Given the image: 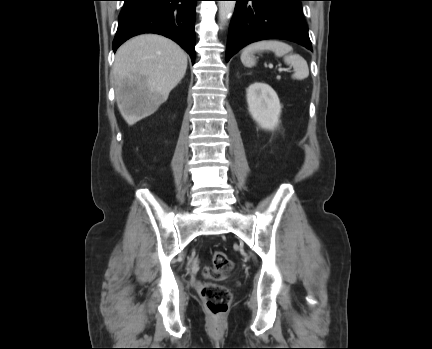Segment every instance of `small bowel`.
Wrapping results in <instances>:
<instances>
[{"label":"small bowel","instance_id":"c3829d8e","mask_svg":"<svg viewBox=\"0 0 432 349\" xmlns=\"http://www.w3.org/2000/svg\"><path fill=\"white\" fill-rule=\"evenodd\" d=\"M205 275L207 277H210V278H220V277L224 276L225 274L219 273V272H217L211 268H206L205 269Z\"/></svg>","mask_w":432,"mask_h":349}]
</instances>
